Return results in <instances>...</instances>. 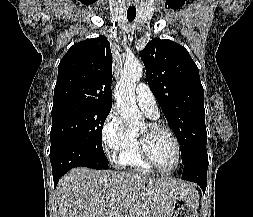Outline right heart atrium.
<instances>
[{"instance_id": "right-heart-atrium-1", "label": "right heart atrium", "mask_w": 253, "mask_h": 217, "mask_svg": "<svg viewBox=\"0 0 253 217\" xmlns=\"http://www.w3.org/2000/svg\"><path fill=\"white\" fill-rule=\"evenodd\" d=\"M129 138V130L125 126L117 109L113 108L106 116L101 127V140L107 157L114 162L118 153Z\"/></svg>"}]
</instances>
